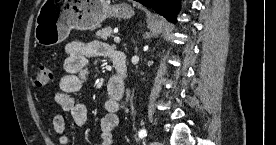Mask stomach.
I'll list each match as a JSON object with an SVG mask.
<instances>
[{"label": "stomach", "instance_id": "obj_1", "mask_svg": "<svg viewBox=\"0 0 276 145\" xmlns=\"http://www.w3.org/2000/svg\"><path fill=\"white\" fill-rule=\"evenodd\" d=\"M133 15L130 6H110L104 0H44L36 17L34 37L38 44L50 47L64 41L72 29H95L108 17Z\"/></svg>", "mask_w": 276, "mask_h": 145}]
</instances>
